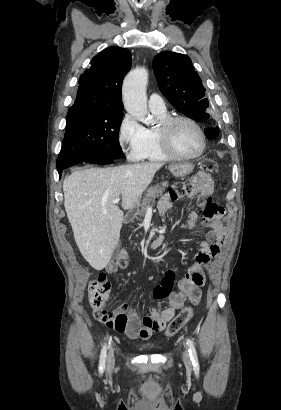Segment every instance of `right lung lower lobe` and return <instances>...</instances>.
<instances>
[{
	"instance_id": "1",
	"label": "right lung lower lobe",
	"mask_w": 281,
	"mask_h": 410,
	"mask_svg": "<svg viewBox=\"0 0 281 410\" xmlns=\"http://www.w3.org/2000/svg\"><path fill=\"white\" fill-rule=\"evenodd\" d=\"M114 159H78V160H74L71 161L69 163H67L66 165H64L63 167H61L60 169H58V173L59 176L61 177L62 171L70 166H73L75 164L81 163V162H88L91 164H108V163H112Z\"/></svg>"
}]
</instances>
